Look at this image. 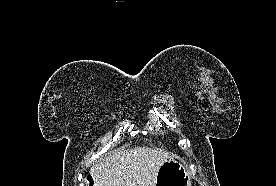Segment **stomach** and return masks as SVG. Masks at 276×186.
<instances>
[{"label":"stomach","mask_w":276,"mask_h":186,"mask_svg":"<svg viewBox=\"0 0 276 186\" xmlns=\"http://www.w3.org/2000/svg\"><path fill=\"white\" fill-rule=\"evenodd\" d=\"M155 186H191L189 172L180 162L169 159L160 166Z\"/></svg>","instance_id":"1"}]
</instances>
